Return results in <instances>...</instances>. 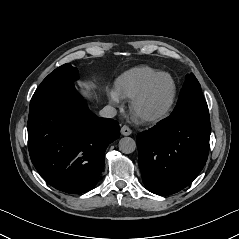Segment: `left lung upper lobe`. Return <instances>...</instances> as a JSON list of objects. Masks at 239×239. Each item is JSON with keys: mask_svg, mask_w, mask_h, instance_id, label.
<instances>
[{"mask_svg": "<svg viewBox=\"0 0 239 239\" xmlns=\"http://www.w3.org/2000/svg\"><path fill=\"white\" fill-rule=\"evenodd\" d=\"M189 105H207L198 80L193 73L187 74L173 113Z\"/></svg>", "mask_w": 239, "mask_h": 239, "instance_id": "left-lung-upper-lobe-1", "label": "left lung upper lobe"}]
</instances>
